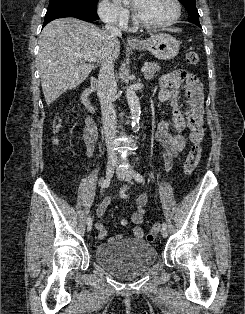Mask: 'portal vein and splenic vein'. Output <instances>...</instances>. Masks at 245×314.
Segmentation results:
<instances>
[{"label": "portal vein and splenic vein", "instance_id": "1", "mask_svg": "<svg viewBox=\"0 0 245 314\" xmlns=\"http://www.w3.org/2000/svg\"><path fill=\"white\" fill-rule=\"evenodd\" d=\"M76 55L85 59L86 61H89V62H96L97 61L95 58L87 56V55H82V54H76ZM145 71H146V67H142L141 72H145Z\"/></svg>", "mask_w": 245, "mask_h": 314}]
</instances>
